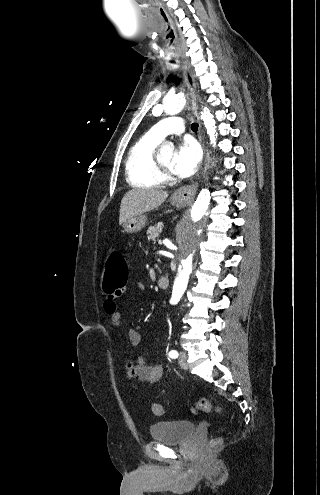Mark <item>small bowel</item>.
Segmentation results:
<instances>
[{"mask_svg":"<svg viewBox=\"0 0 320 495\" xmlns=\"http://www.w3.org/2000/svg\"><path fill=\"white\" fill-rule=\"evenodd\" d=\"M139 290L144 289L142 283H138ZM121 295L120 293H106V299L103 304L104 311L110 316L114 325L118 326L121 321V313L117 308L116 298ZM128 339L131 345L139 346L142 342V336L135 328L128 330ZM127 376L129 378H137L148 384H153L159 381L164 374V366L162 364L148 365L143 356H138L136 362L133 360L127 361Z\"/></svg>","mask_w":320,"mask_h":495,"instance_id":"obj_1","label":"small bowel"}]
</instances>
